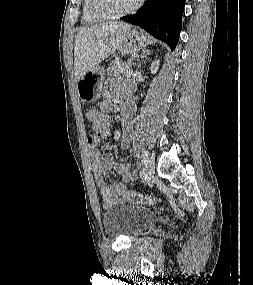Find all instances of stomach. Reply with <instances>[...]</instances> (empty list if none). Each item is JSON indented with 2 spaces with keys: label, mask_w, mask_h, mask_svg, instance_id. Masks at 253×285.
I'll return each instance as SVG.
<instances>
[{
  "label": "stomach",
  "mask_w": 253,
  "mask_h": 285,
  "mask_svg": "<svg viewBox=\"0 0 253 285\" xmlns=\"http://www.w3.org/2000/svg\"><path fill=\"white\" fill-rule=\"evenodd\" d=\"M149 38L142 31L136 29L129 30L121 44L118 52L122 55L136 54L149 45ZM104 80V69L96 66L87 72L76 84L78 96L82 102H94L101 94Z\"/></svg>",
  "instance_id": "stomach-1"
}]
</instances>
